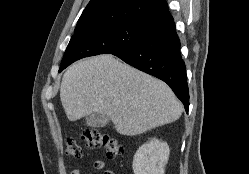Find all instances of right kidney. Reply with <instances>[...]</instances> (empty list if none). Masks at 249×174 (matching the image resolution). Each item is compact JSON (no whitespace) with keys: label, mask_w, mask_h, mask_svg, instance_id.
I'll return each mask as SVG.
<instances>
[{"label":"right kidney","mask_w":249,"mask_h":174,"mask_svg":"<svg viewBox=\"0 0 249 174\" xmlns=\"http://www.w3.org/2000/svg\"><path fill=\"white\" fill-rule=\"evenodd\" d=\"M169 153L166 142L153 138L135 153L132 164L134 174H164Z\"/></svg>","instance_id":"obj_1"}]
</instances>
